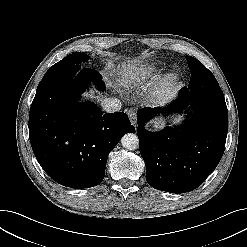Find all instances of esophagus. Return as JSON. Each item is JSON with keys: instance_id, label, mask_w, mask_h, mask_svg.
Returning <instances> with one entry per match:
<instances>
[{"instance_id": "34e87169", "label": "esophagus", "mask_w": 247, "mask_h": 247, "mask_svg": "<svg viewBox=\"0 0 247 247\" xmlns=\"http://www.w3.org/2000/svg\"><path fill=\"white\" fill-rule=\"evenodd\" d=\"M126 113L128 114L131 123L136 127V119H137V114L135 109H126Z\"/></svg>"}]
</instances>
